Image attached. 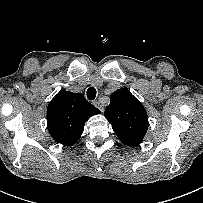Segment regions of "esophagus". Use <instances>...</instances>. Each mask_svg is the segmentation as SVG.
Listing matches in <instances>:
<instances>
[{"label": "esophagus", "mask_w": 203, "mask_h": 203, "mask_svg": "<svg viewBox=\"0 0 203 203\" xmlns=\"http://www.w3.org/2000/svg\"><path fill=\"white\" fill-rule=\"evenodd\" d=\"M94 106H96L101 112H103L104 108L103 106L100 104V102L95 101L93 102Z\"/></svg>", "instance_id": "1"}]
</instances>
